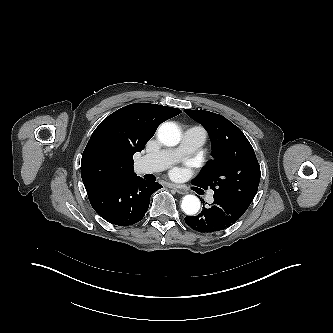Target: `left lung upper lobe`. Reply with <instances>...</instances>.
I'll use <instances>...</instances> for the list:
<instances>
[{
  "label": "left lung upper lobe",
  "instance_id": "5c2ea615",
  "mask_svg": "<svg viewBox=\"0 0 333 333\" xmlns=\"http://www.w3.org/2000/svg\"><path fill=\"white\" fill-rule=\"evenodd\" d=\"M185 112L203 125L212 143L213 160L192 183L203 189L210 188L214 194L248 208L261 177L250 142L237 126L219 114L190 109Z\"/></svg>",
  "mask_w": 333,
  "mask_h": 333
}]
</instances>
